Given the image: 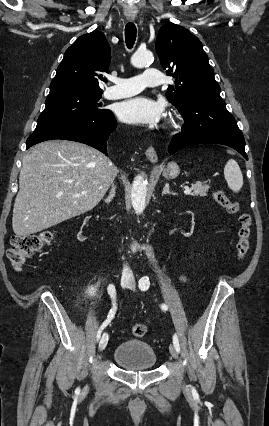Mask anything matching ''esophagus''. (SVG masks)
Segmentation results:
<instances>
[{"instance_id": "34e87169", "label": "esophagus", "mask_w": 269, "mask_h": 426, "mask_svg": "<svg viewBox=\"0 0 269 426\" xmlns=\"http://www.w3.org/2000/svg\"><path fill=\"white\" fill-rule=\"evenodd\" d=\"M127 19H128L129 21H133V20L135 19V17H134V16H129V17H127ZM145 155H146L147 159H148L150 162H152V163H156V162H157V160H158L157 153H156L155 149H154L152 146H150V147L146 150Z\"/></svg>"}]
</instances>
